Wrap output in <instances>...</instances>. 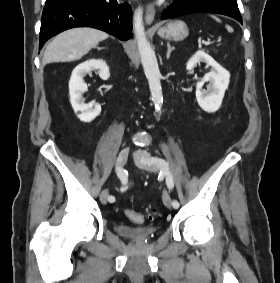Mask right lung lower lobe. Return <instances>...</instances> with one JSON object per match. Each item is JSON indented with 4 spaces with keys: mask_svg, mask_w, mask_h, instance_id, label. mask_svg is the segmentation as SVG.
<instances>
[{
    "mask_svg": "<svg viewBox=\"0 0 280 283\" xmlns=\"http://www.w3.org/2000/svg\"><path fill=\"white\" fill-rule=\"evenodd\" d=\"M132 9L117 0H52L41 19L39 49L54 35L75 27L103 30L120 40L132 35Z\"/></svg>",
    "mask_w": 280,
    "mask_h": 283,
    "instance_id": "right-lung-lower-lobe-1",
    "label": "right lung lower lobe"
}]
</instances>
